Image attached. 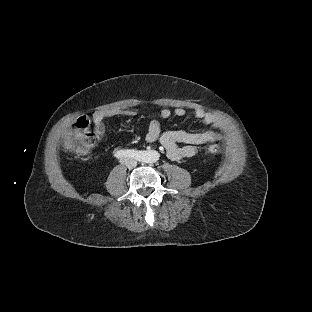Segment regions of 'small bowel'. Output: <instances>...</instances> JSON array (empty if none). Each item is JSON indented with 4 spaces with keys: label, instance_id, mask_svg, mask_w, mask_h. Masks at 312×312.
<instances>
[{
    "label": "small bowel",
    "instance_id": "1",
    "mask_svg": "<svg viewBox=\"0 0 312 312\" xmlns=\"http://www.w3.org/2000/svg\"><path fill=\"white\" fill-rule=\"evenodd\" d=\"M187 113L184 107L178 106L173 110L164 107L160 111V117L168 119L172 114L183 117ZM194 116L210 129L203 132H188L184 130H169L162 132L159 120L153 119L149 122L145 141L149 144L159 142L163 147L167 157L171 160H180L192 157L196 153V146L216 142L219 138L217 132V118L202 108L193 111ZM133 117L137 112L132 109H111L96 112L93 115V129L97 137H102L105 133V119L116 116ZM180 144H183L180 146Z\"/></svg>",
    "mask_w": 312,
    "mask_h": 312
}]
</instances>
